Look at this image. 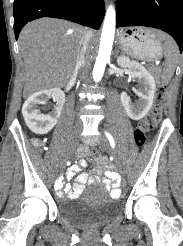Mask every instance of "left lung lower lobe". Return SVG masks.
Returning <instances> with one entry per match:
<instances>
[{"instance_id": "1", "label": "left lung lower lobe", "mask_w": 183, "mask_h": 246, "mask_svg": "<svg viewBox=\"0 0 183 246\" xmlns=\"http://www.w3.org/2000/svg\"><path fill=\"white\" fill-rule=\"evenodd\" d=\"M117 27L147 26L163 30L183 51V0H121L117 2Z\"/></svg>"}]
</instances>
